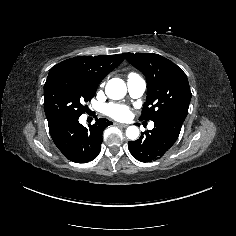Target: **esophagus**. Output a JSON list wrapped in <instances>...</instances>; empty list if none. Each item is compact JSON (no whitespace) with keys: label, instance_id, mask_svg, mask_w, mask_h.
Segmentation results:
<instances>
[{"label":"esophagus","instance_id":"esophagus-1","mask_svg":"<svg viewBox=\"0 0 236 236\" xmlns=\"http://www.w3.org/2000/svg\"><path fill=\"white\" fill-rule=\"evenodd\" d=\"M114 124L116 126H121V127H124V128L128 126V124H123V123H118V122H114Z\"/></svg>","mask_w":236,"mask_h":236}]
</instances>
